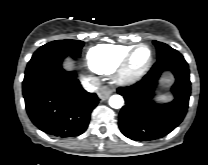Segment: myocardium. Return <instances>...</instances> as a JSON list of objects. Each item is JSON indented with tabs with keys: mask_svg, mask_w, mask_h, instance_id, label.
<instances>
[{
	"mask_svg": "<svg viewBox=\"0 0 208 165\" xmlns=\"http://www.w3.org/2000/svg\"><path fill=\"white\" fill-rule=\"evenodd\" d=\"M146 48L149 51V58L147 62L139 68L133 65V59L138 50ZM154 59V54L152 49L146 44L136 45L131 49V51L126 55L118 71L117 81L121 84H132L140 80L151 68Z\"/></svg>",
	"mask_w": 208,
	"mask_h": 165,
	"instance_id": "1",
	"label": "myocardium"
}]
</instances>
